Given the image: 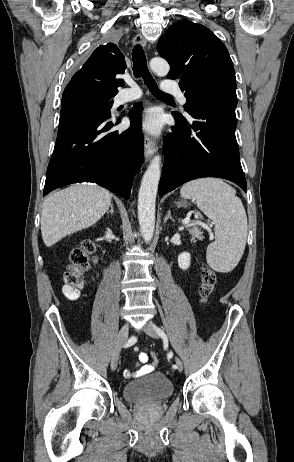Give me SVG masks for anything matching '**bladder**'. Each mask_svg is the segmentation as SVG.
Listing matches in <instances>:
<instances>
[{"instance_id": "bladder-1", "label": "bladder", "mask_w": 294, "mask_h": 462, "mask_svg": "<svg viewBox=\"0 0 294 462\" xmlns=\"http://www.w3.org/2000/svg\"><path fill=\"white\" fill-rule=\"evenodd\" d=\"M174 392L172 382L162 373H151L123 387L126 400L134 403L162 401Z\"/></svg>"}]
</instances>
